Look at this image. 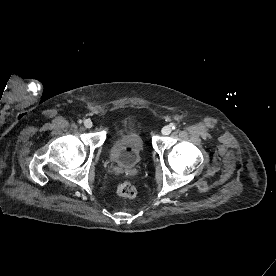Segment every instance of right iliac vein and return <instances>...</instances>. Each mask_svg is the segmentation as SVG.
<instances>
[{
	"label": "right iliac vein",
	"instance_id": "63e3f726",
	"mask_svg": "<svg viewBox=\"0 0 276 276\" xmlns=\"http://www.w3.org/2000/svg\"><path fill=\"white\" fill-rule=\"evenodd\" d=\"M84 126L86 128H91L92 127V121L90 119H85L84 122H83Z\"/></svg>",
	"mask_w": 276,
	"mask_h": 276
}]
</instances>
